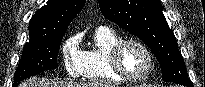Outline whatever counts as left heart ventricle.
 Here are the masks:
<instances>
[{"label":"left heart ventricle","mask_w":205,"mask_h":87,"mask_svg":"<svg viewBox=\"0 0 205 87\" xmlns=\"http://www.w3.org/2000/svg\"><path fill=\"white\" fill-rule=\"evenodd\" d=\"M122 68L131 76L143 74L148 67L146 53L137 45H127L121 53Z\"/></svg>","instance_id":"obj_1"}]
</instances>
